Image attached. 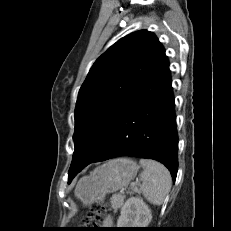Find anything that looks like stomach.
Segmentation results:
<instances>
[{
  "label": "stomach",
  "mask_w": 231,
  "mask_h": 231,
  "mask_svg": "<svg viewBox=\"0 0 231 231\" xmlns=\"http://www.w3.org/2000/svg\"><path fill=\"white\" fill-rule=\"evenodd\" d=\"M139 166L128 158L110 160L81 178L75 195L84 205L104 200L106 194L124 189L136 175Z\"/></svg>",
  "instance_id": "0dacf381"
}]
</instances>
